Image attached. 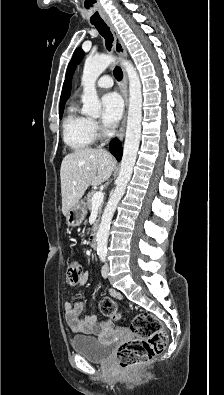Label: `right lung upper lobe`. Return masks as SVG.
Instances as JSON below:
<instances>
[{
	"label": "right lung upper lobe",
	"mask_w": 224,
	"mask_h": 395,
	"mask_svg": "<svg viewBox=\"0 0 224 395\" xmlns=\"http://www.w3.org/2000/svg\"><path fill=\"white\" fill-rule=\"evenodd\" d=\"M63 109H64V99H63V94H62L61 99H60V110H63Z\"/></svg>",
	"instance_id": "obj_1"
}]
</instances>
